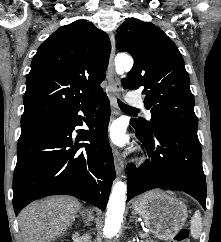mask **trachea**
<instances>
[{"label":"trachea","mask_w":221,"mask_h":242,"mask_svg":"<svg viewBox=\"0 0 221 242\" xmlns=\"http://www.w3.org/2000/svg\"><path fill=\"white\" fill-rule=\"evenodd\" d=\"M118 105L119 107L122 109V110H125V111H129V112H139L138 109L136 108H133L129 105H126L125 103L121 102L120 100H118Z\"/></svg>","instance_id":"obj_1"}]
</instances>
